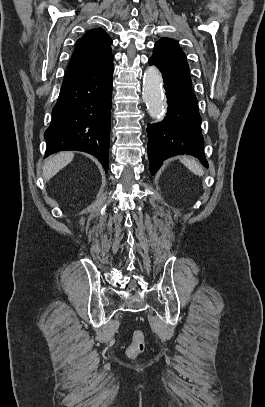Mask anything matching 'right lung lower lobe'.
<instances>
[{
	"mask_svg": "<svg viewBox=\"0 0 265 407\" xmlns=\"http://www.w3.org/2000/svg\"><path fill=\"white\" fill-rule=\"evenodd\" d=\"M113 54L65 76L44 133L45 157L63 150L94 155L108 170Z\"/></svg>",
	"mask_w": 265,
	"mask_h": 407,
	"instance_id": "right-lung-lower-lobe-1",
	"label": "right lung lower lobe"
}]
</instances>
